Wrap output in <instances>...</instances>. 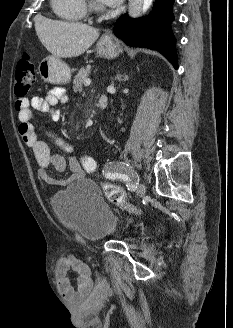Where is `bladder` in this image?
<instances>
[{"label":"bladder","mask_w":233,"mask_h":328,"mask_svg":"<svg viewBox=\"0 0 233 328\" xmlns=\"http://www.w3.org/2000/svg\"><path fill=\"white\" fill-rule=\"evenodd\" d=\"M51 204L57 215L88 241H99L116 230L117 218L97 184L88 179L55 193Z\"/></svg>","instance_id":"obj_1"}]
</instances>
